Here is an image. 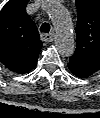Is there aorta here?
I'll use <instances>...</instances> for the list:
<instances>
[{
  "label": "aorta",
  "instance_id": "1",
  "mask_svg": "<svg viewBox=\"0 0 100 118\" xmlns=\"http://www.w3.org/2000/svg\"><path fill=\"white\" fill-rule=\"evenodd\" d=\"M46 13L56 29L55 45L63 57L72 56L75 51L73 24L67 10L55 0H50Z\"/></svg>",
  "mask_w": 100,
  "mask_h": 118
}]
</instances>
